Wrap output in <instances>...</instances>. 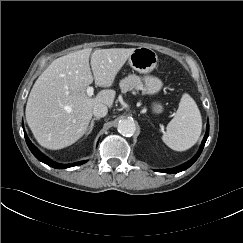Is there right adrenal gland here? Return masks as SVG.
Returning <instances> with one entry per match:
<instances>
[{"label": "right adrenal gland", "instance_id": "right-adrenal-gland-1", "mask_svg": "<svg viewBox=\"0 0 243 243\" xmlns=\"http://www.w3.org/2000/svg\"><path fill=\"white\" fill-rule=\"evenodd\" d=\"M95 120H99V118L94 117V118L91 120V123H90V125H89V127H88V132H87L86 135H89V134L92 132V130H93V128H94V121H95Z\"/></svg>", "mask_w": 243, "mask_h": 243}]
</instances>
